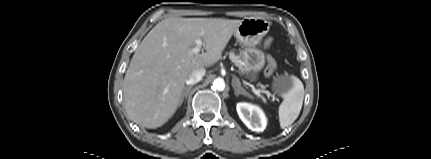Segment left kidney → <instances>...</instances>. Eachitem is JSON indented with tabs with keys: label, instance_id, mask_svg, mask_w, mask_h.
I'll return each instance as SVG.
<instances>
[{
	"label": "left kidney",
	"instance_id": "obj_1",
	"mask_svg": "<svg viewBox=\"0 0 431 159\" xmlns=\"http://www.w3.org/2000/svg\"><path fill=\"white\" fill-rule=\"evenodd\" d=\"M237 113L242 122L252 131L262 132L266 128L267 118L260 107L245 102L236 106Z\"/></svg>",
	"mask_w": 431,
	"mask_h": 159
}]
</instances>
